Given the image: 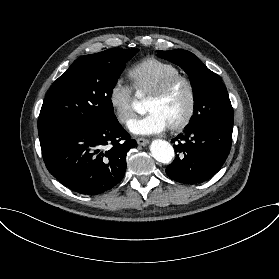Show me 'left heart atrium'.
<instances>
[{
  "label": "left heart atrium",
  "mask_w": 279,
  "mask_h": 279,
  "mask_svg": "<svg viewBox=\"0 0 279 279\" xmlns=\"http://www.w3.org/2000/svg\"><path fill=\"white\" fill-rule=\"evenodd\" d=\"M170 125L157 111H151L142 118L132 120L128 128L136 135H157L164 132Z\"/></svg>",
  "instance_id": "obj_1"
}]
</instances>
